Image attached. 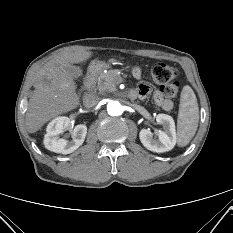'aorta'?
Segmentation results:
<instances>
[{"label": "aorta", "instance_id": "1", "mask_svg": "<svg viewBox=\"0 0 233 233\" xmlns=\"http://www.w3.org/2000/svg\"><path fill=\"white\" fill-rule=\"evenodd\" d=\"M107 111L111 116H119L123 113V106L118 101H110L107 105Z\"/></svg>", "mask_w": 233, "mask_h": 233}]
</instances>
